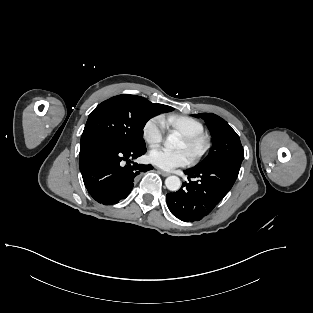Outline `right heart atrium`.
Listing matches in <instances>:
<instances>
[{
    "mask_svg": "<svg viewBox=\"0 0 313 313\" xmlns=\"http://www.w3.org/2000/svg\"><path fill=\"white\" fill-rule=\"evenodd\" d=\"M142 135L149 146L155 147L159 145L164 136L163 119L159 116L148 119L143 126Z\"/></svg>",
    "mask_w": 313,
    "mask_h": 313,
    "instance_id": "right-heart-atrium-1",
    "label": "right heart atrium"
}]
</instances>
